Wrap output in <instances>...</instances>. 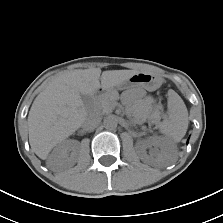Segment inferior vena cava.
I'll return each mask as SVG.
<instances>
[{"mask_svg": "<svg viewBox=\"0 0 223 223\" xmlns=\"http://www.w3.org/2000/svg\"><path fill=\"white\" fill-rule=\"evenodd\" d=\"M100 122H101V119L99 117H97V116H89L85 120V122L83 124V127L85 129H87V130H91V129H94V128L98 127Z\"/></svg>", "mask_w": 223, "mask_h": 223, "instance_id": "inferior-vena-cava-1", "label": "inferior vena cava"}]
</instances>
